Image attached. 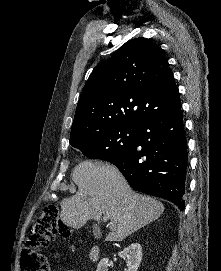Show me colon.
<instances>
[{
  "instance_id": "obj_1",
  "label": "colon",
  "mask_w": 221,
  "mask_h": 271,
  "mask_svg": "<svg viewBox=\"0 0 221 271\" xmlns=\"http://www.w3.org/2000/svg\"><path fill=\"white\" fill-rule=\"evenodd\" d=\"M56 205H46L34 220L32 234L20 251L21 271H51V266L42 250L54 240L56 234L69 236V227L63 225Z\"/></svg>"
}]
</instances>
